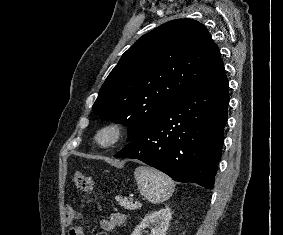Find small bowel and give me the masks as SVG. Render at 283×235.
I'll use <instances>...</instances> for the list:
<instances>
[{
	"label": "small bowel",
	"mask_w": 283,
	"mask_h": 235,
	"mask_svg": "<svg viewBox=\"0 0 283 235\" xmlns=\"http://www.w3.org/2000/svg\"><path fill=\"white\" fill-rule=\"evenodd\" d=\"M64 217L67 224H72L77 219V213L71 206H67L64 211ZM127 217L123 213H112L101 220V229L105 232H112L122 226ZM69 235H83V231L79 226H72L68 232Z\"/></svg>",
	"instance_id": "c3829d8e"
}]
</instances>
